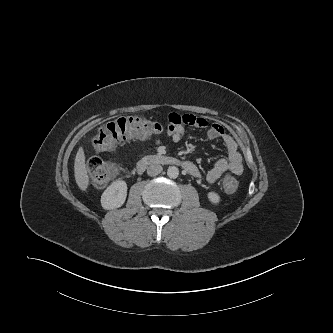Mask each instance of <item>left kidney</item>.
Segmentation results:
<instances>
[{
    "label": "left kidney",
    "mask_w": 333,
    "mask_h": 333,
    "mask_svg": "<svg viewBox=\"0 0 333 333\" xmlns=\"http://www.w3.org/2000/svg\"><path fill=\"white\" fill-rule=\"evenodd\" d=\"M207 197L209 199V201L213 204H219L220 203V196L218 193L214 192V191H211V192H208L207 194Z\"/></svg>",
    "instance_id": "obj_1"
}]
</instances>
